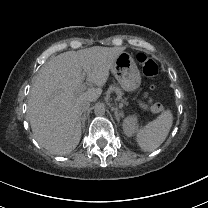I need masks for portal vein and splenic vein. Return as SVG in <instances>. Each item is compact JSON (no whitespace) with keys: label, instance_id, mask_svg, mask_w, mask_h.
I'll list each match as a JSON object with an SVG mask.
<instances>
[{"label":"portal vein and splenic vein","instance_id":"18ae733b","mask_svg":"<svg viewBox=\"0 0 208 208\" xmlns=\"http://www.w3.org/2000/svg\"><path fill=\"white\" fill-rule=\"evenodd\" d=\"M83 76L85 79H88L85 81V83H82L81 86H80V89L81 90H85L86 89V86L90 84V79H89V75L86 74L85 72H83ZM112 93L116 95V103L118 104V107L119 108H122L123 107V104L121 103V96H122V93H120V90L118 89V87H115L112 89Z\"/></svg>","mask_w":208,"mask_h":208}]
</instances>
